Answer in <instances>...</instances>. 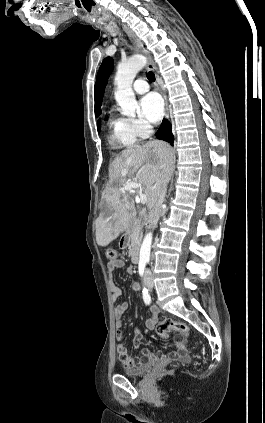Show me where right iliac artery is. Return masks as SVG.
I'll return each mask as SVG.
<instances>
[{"mask_svg": "<svg viewBox=\"0 0 265 423\" xmlns=\"http://www.w3.org/2000/svg\"><path fill=\"white\" fill-rule=\"evenodd\" d=\"M143 273H144V266L143 265H140L139 266V274L142 276ZM142 295H143L144 302L147 305H149L151 303V297H150V294H149L148 290L145 287L142 290Z\"/></svg>", "mask_w": 265, "mask_h": 423, "instance_id": "82829eb1", "label": "right iliac artery"}]
</instances>
